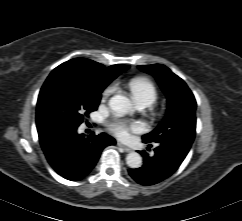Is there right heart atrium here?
I'll return each mask as SVG.
<instances>
[{
  "label": "right heart atrium",
  "mask_w": 242,
  "mask_h": 221,
  "mask_svg": "<svg viewBox=\"0 0 242 221\" xmlns=\"http://www.w3.org/2000/svg\"><path fill=\"white\" fill-rule=\"evenodd\" d=\"M115 90H116L115 85L108 86L103 92V97L108 98L112 93H114Z\"/></svg>",
  "instance_id": "obj_1"
}]
</instances>
